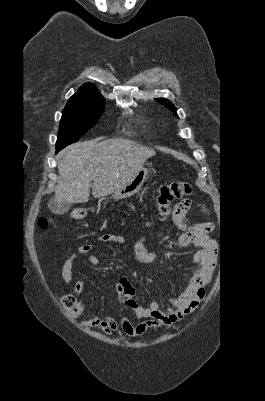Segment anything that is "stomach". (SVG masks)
Returning a JSON list of instances; mask_svg holds the SVG:
<instances>
[{"label": "stomach", "mask_w": 265, "mask_h": 401, "mask_svg": "<svg viewBox=\"0 0 265 401\" xmlns=\"http://www.w3.org/2000/svg\"><path fill=\"white\" fill-rule=\"evenodd\" d=\"M148 172V168L142 166L131 180H127L126 184H123L121 188H118L115 192H111L109 198H116V201H119V198H129V196H133V194H136L141 186H143Z\"/></svg>", "instance_id": "0dacf381"}]
</instances>
